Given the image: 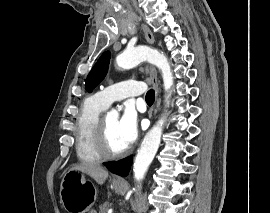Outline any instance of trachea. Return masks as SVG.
<instances>
[{"mask_svg":"<svg viewBox=\"0 0 270 213\" xmlns=\"http://www.w3.org/2000/svg\"><path fill=\"white\" fill-rule=\"evenodd\" d=\"M154 100H155V92L153 89H151L146 94V102L152 104Z\"/></svg>","mask_w":270,"mask_h":213,"instance_id":"3493384b","label":"trachea"}]
</instances>
